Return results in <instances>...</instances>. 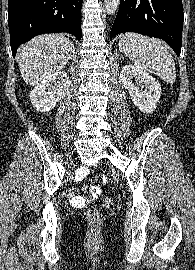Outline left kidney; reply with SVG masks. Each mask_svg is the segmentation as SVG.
Instances as JSON below:
<instances>
[{
    "label": "left kidney",
    "instance_id": "left-kidney-1",
    "mask_svg": "<svg viewBox=\"0 0 195 270\" xmlns=\"http://www.w3.org/2000/svg\"><path fill=\"white\" fill-rule=\"evenodd\" d=\"M120 78L134 105L143 113H153L161 96L160 83L149 73L133 65L122 67ZM133 79L138 81L144 90L134 86Z\"/></svg>",
    "mask_w": 195,
    "mask_h": 270
}]
</instances>
